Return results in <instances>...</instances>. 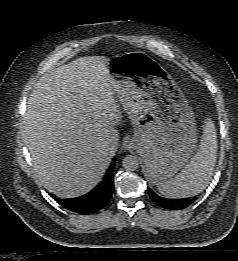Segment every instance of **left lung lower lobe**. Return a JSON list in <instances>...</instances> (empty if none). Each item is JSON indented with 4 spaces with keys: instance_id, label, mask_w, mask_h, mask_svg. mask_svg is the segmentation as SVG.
I'll use <instances>...</instances> for the list:
<instances>
[{
    "instance_id": "left-lung-lower-lobe-1",
    "label": "left lung lower lobe",
    "mask_w": 238,
    "mask_h": 261,
    "mask_svg": "<svg viewBox=\"0 0 238 261\" xmlns=\"http://www.w3.org/2000/svg\"><path fill=\"white\" fill-rule=\"evenodd\" d=\"M148 193L150 195L151 200L156 203L158 206L170 209V210H180L186 208L188 205L191 204L192 201L189 200H183V201H176L173 199H167L160 197L156 193H154L152 190H148Z\"/></svg>"
}]
</instances>
